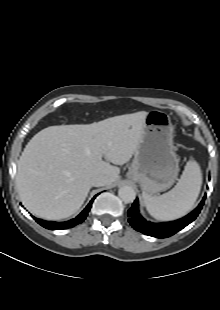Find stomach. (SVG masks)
<instances>
[{
  "mask_svg": "<svg viewBox=\"0 0 220 310\" xmlns=\"http://www.w3.org/2000/svg\"><path fill=\"white\" fill-rule=\"evenodd\" d=\"M178 163L169 115L159 110L149 112L127 177L139 183L143 193L153 195L173 185Z\"/></svg>",
  "mask_w": 220,
  "mask_h": 310,
  "instance_id": "obj_1",
  "label": "stomach"
}]
</instances>
